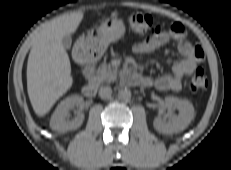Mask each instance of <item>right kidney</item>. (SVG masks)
<instances>
[{
  "label": "right kidney",
  "mask_w": 231,
  "mask_h": 170,
  "mask_svg": "<svg viewBox=\"0 0 231 170\" xmlns=\"http://www.w3.org/2000/svg\"><path fill=\"white\" fill-rule=\"evenodd\" d=\"M83 106L84 100L78 95L67 97L65 100L61 101L51 117V129L65 133L79 128L84 120V115L82 113ZM75 107L79 109L77 116L73 120H68L67 117L69 116V111Z\"/></svg>",
  "instance_id": "ca27d5eb"
}]
</instances>
